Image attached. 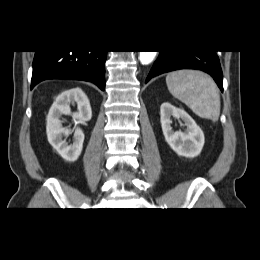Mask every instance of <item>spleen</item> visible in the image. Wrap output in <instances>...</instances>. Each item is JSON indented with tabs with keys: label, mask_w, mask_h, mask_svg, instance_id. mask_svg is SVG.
I'll return each mask as SVG.
<instances>
[{
	"label": "spleen",
	"mask_w": 260,
	"mask_h": 260,
	"mask_svg": "<svg viewBox=\"0 0 260 260\" xmlns=\"http://www.w3.org/2000/svg\"><path fill=\"white\" fill-rule=\"evenodd\" d=\"M169 92L201 118L217 122L220 94L214 80L201 71L179 70L166 76Z\"/></svg>",
	"instance_id": "spleen-1"
}]
</instances>
